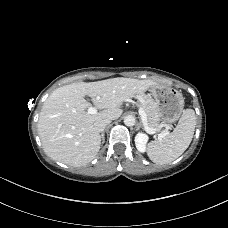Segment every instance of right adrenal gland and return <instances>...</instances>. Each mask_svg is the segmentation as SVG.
Returning <instances> with one entry per match:
<instances>
[{"mask_svg":"<svg viewBox=\"0 0 228 228\" xmlns=\"http://www.w3.org/2000/svg\"><path fill=\"white\" fill-rule=\"evenodd\" d=\"M102 144L105 142V131L101 133Z\"/></svg>","mask_w":228,"mask_h":228,"instance_id":"1","label":"right adrenal gland"}]
</instances>
